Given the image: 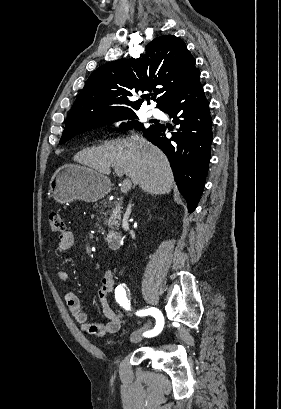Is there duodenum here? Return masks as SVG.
<instances>
[{
  "label": "duodenum",
  "mask_w": 281,
  "mask_h": 409,
  "mask_svg": "<svg viewBox=\"0 0 281 409\" xmlns=\"http://www.w3.org/2000/svg\"><path fill=\"white\" fill-rule=\"evenodd\" d=\"M108 244L112 249H119L122 244V236L119 232H110L107 235Z\"/></svg>",
  "instance_id": "obj_1"
}]
</instances>
